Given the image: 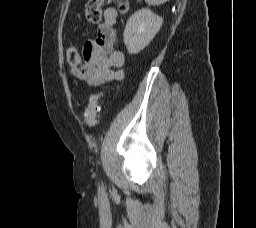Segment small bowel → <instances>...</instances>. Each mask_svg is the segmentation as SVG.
Segmentation results:
<instances>
[{
	"label": "small bowel",
	"mask_w": 256,
	"mask_h": 228,
	"mask_svg": "<svg viewBox=\"0 0 256 228\" xmlns=\"http://www.w3.org/2000/svg\"><path fill=\"white\" fill-rule=\"evenodd\" d=\"M116 22L117 11L114 8L105 9L96 38L89 39L84 44V64L72 66L73 75L90 86L113 83L124 77L121 67L125 63V55L114 48L117 40Z\"/></svg>",
	"instance_id": "obj_1"
}]
</instances>
